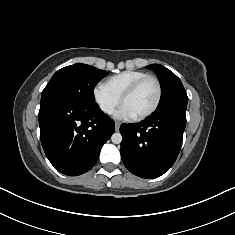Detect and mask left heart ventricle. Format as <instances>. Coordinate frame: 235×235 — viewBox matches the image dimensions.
I'll use <instances>...</instances> for the list:
<instances>
[{"instance_id": "obj_1", "label": "left heart ventricle", "mask_w": 235, "mask_h": 235, "mask_svg": "<svg viewBox=\"0 0 235 235\" xmlns=\"http://www.w3.org/2000/svg\"><path fill=\"white\" fill-rule=\"evenodd\" d=\"M157 86L153 80H147L140 88L123 102L135 116L150 109L156 101Z\"/></svg>"}]
</instances>
